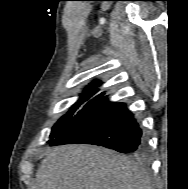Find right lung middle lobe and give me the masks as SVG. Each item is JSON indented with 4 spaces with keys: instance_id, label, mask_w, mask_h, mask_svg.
<instances>
[{
    "instance_id": "dd1d6c3e",
    "label": "right lung middle lobe",
    "mask_w": 188,
    "mask_h": 189,
    "mask_svg": "<svg viewBox=\"0 0 188 189\" xmlns=\"http://www.w3.org/2000/svg\"><path fill=\"white\" fill-rule=\"evenodd\" d=\"M96 92L86 93L80 96L79 100L72 106V108L59 119V121L52 128L50 135L51 140L48 143H51L54 139L64 133L69 127H71L87 110L94 106L98 101L104 98V93L94 96ZM88 101L83 105L84 102ZM82 105V106H81ZM80 108L78 112L77 109ZM76 112V113H75Z\"/></svg>"
}]
</instances>
